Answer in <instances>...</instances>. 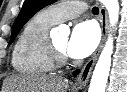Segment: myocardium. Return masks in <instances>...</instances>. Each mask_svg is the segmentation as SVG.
Masks as SVG:
<instances>
[{
	"instance_id": "myocardium-1",
	"label": "myocardium",
	"mask_w": 127,
	"mask_h": 92,
	"mask_svg": "<svg viewBox=\"0 0 127 92\" xmlns=\"http://www.w3.org/2000/svg\"><path fill=\"white\" fill-rule=\"evenodd\" d=\"M48 49L50 56L56 66H62L67 62V56L64 51H61L54 43L53 39L49 38Z\"/></svg>"
}]
</instances>
